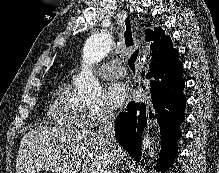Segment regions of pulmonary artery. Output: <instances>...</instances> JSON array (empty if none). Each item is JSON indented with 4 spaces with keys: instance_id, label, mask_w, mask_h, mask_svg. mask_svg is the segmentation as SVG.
<instances>
[{
    "instance_id": "1",
    "label": "pulmonary artery",
    "mask_w": 219,
    "mask_h": 173,
    "mask_svg": "<svg viewBox=\"0 0 219 173\" xmlns=\"http://www.w3.org/2000/svg\"><path fill=\"white\" fill-rule=\"evenodd\" d=\"M124 74L125 68L119 59L104 63L99 68V75L104 79L121 78Z\"/></svg>"
}]
</instances>
